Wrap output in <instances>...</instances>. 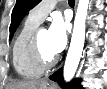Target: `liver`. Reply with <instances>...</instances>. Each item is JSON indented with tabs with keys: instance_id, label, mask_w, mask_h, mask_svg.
Segmentation results:
<instances>
[{
	"instance_id": "6515ba94",
	"label": "liver",
	"mask_w": 107,
	"mask_h": 89,
	"mask_svg": "<svg viewBox=\"0 0 107 89\" xmlns=\"http://www.w3.org/2000/svg\"><path fill=\"white\" fill-rule=\"evenodd\" d=\"M46 84V81L38 80L15 81L9 85L8 89H43Z\"/></svg>"
}]
</instances>
